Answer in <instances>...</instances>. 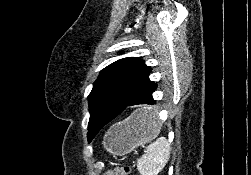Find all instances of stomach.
Here are the masks:
<instances>
[{"label": "stomach", "mask_w": 251, "mask_h": 175, "mask_svg": "<svg viewBox=\"0 0 251 175\" xmlns=\"http://www.w3.org/2000/svg\"><path fill=\"white\" fill-rule=\"evenodd\" d=\"M160 128H165V123L163 118H158V114H141L139 109H135L129 117L111 125L103 137V145L112 155H126L156 135L167 134V129Z\"/></svg>", "instance_id": "1"}]
</instances>
